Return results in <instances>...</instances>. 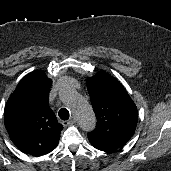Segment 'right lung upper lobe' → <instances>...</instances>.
Wrapping results in <instances>:
<instances>
[{"label": "right lung upper lobe", "instance_id": "obj_1", "mask_svg": "<svg viewBox=\"0 0 171 171\" xmlns=\"http://www.w3.org/2000/svg\"><path fill=\"white\" fill-rule=\"evenodd\" d=\"M51 84L44 72H31L19 82L5 106L4 123L12 142L33 156L51 152L63 129L49 107Z\"/></svg>", "mask_w": 171, "mask_h": 171}]
</instances>
